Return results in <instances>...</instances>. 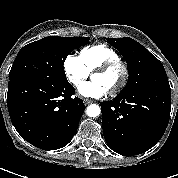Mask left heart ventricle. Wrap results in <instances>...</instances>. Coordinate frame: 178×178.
Wrapping results in <instances>:
<instances>
[{
    "mask_svg": "<svg viewBox=\"0 0 178 178\" xmlns=\"http://www.w3.org/2000/svg\"><path fill=\"white\" fill-rule=\"evenodd\" d=\"M92 79L100 82L110 91L119 83L121 79V70L117 68L106 73L94 74Z\"/></svg>",
    "mask_w": 178,
    "mask_h": 178,
    "instance_id": "1",
    "label": "left heart ventricle"
}]
</instances>
